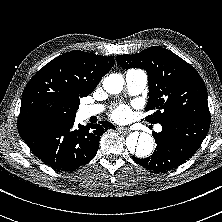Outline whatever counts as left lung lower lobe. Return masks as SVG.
Wrapping results in <instances>:
<instances>
[{"mask_svg": "<svg viewBox=\"0 0 222 222\" xmlns=\"http://www.w3.org/2000/svg\"><path fill=\"white\" fill-rule=\"evenodd\" d=\"M160 124L162 131L153 134L157 143L154 153L146 159H133L147 169L165 172L177 168L198 150L208 133L210 120L185 116Z\"/></svg>", "mask_w": 222, "mask_h": 222, "instance_id": "1", "label": "left lung lower lobe"}]
</instances>
